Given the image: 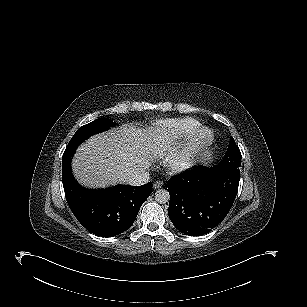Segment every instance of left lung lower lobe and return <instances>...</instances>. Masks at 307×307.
<instances>
[{"instance_id": "0a47b994", "label": "left lung lower lobe", "mask_w": 307, "mask_h": 307, "mask_svg": "<svg viewBox=\"0 0 307 307\" xmlns=\"http://www.w3.org/2000/svg\"><path fill=\"white\" fill-rule=\"evenodd\" d=\"M240 171L194 166L168 182L169 218L182 233L202 236L228 214L236 197Z\"/></svg>"}]
</instances>
